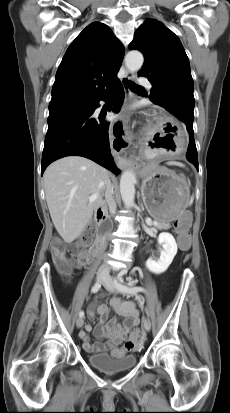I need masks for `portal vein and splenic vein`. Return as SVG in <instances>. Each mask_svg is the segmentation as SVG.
<instances>
[{
	"instance_id": "portal-vein-and-splenic-vein-1",
	"label": "portal vein and splenic vein",
	"mask_w": 230,
	"mask_h": 413,
	"mask_svg": "<svg viewBox=\"0 0 230 413\" xmlns=\"http://www.w3.org/2000/svg\"><path fill=\"white\" fill-rule=\"evenodd\" d=\"M97 196H98L97 193L92 194V195L89 197V200H90V201L95 200V199L97 198ZM154 224H157V223L155 222Z\"/></svg>"
}]
</instances>
